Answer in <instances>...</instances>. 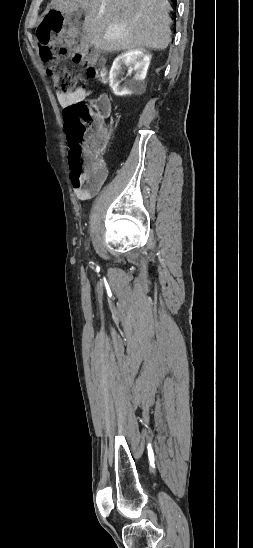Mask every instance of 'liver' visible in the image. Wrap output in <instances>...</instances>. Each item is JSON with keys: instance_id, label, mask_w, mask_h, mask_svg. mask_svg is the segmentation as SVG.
I'll list each match as a JSON object with an SVG mask.
<instances>
[{"instance_id": "liver-1", "label": "liver", "mask_w": 253, "mask_h": 548, "mask_svg": "<svg viewBox=\"0 0 253 548\" xmlns=\"http://www.w3.org/2000/svg\"><path fill=\"white\" fill-rule=\"evenodd\" d=\"M49 8L84 9L82 38L99 51L164 50L171 41L167 0H51Z\"/></svg>"}]
</instances>
